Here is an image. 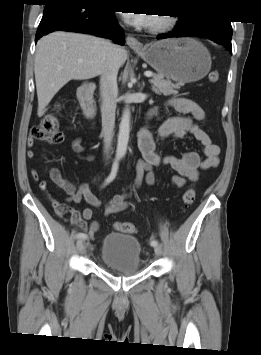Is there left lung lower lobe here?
<instances>
[{
	"mask_svg": "<svg viewBox=\"0 0 261 355\" xmlns=\"http://www.w3.org/2000/svg\"><path fill=\"white\" fill-rule=\"evenodd\" d=\"M203 37L223 45L232 53V27L229 20L216 18H186L180 17L178 24L169 34H159L157 39L171 37Z\"/></svg>",
	"mask_w": 261,
	"mask_h": 355,
	"instance_id": "0a47b994",
	"label": "left lung lower lobe"
}]
</instances>
